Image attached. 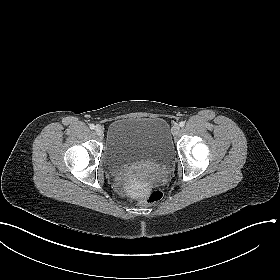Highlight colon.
<instances>
[{
    "instance_id": "colon-1",
    "label": "colon",
    "mask_w": 280,
    "mask_h": 280,
    "mask_svg": "<svg viewBox=\"0 0 280 280\" xmlns=\"http://www.w3.org/2000/svg\"><path fill=\"white\" fill-rule=\"evenodd\" d=\"M163 194L159 189H151L145 195L144 201L147 204H153L161 200Z\"/></svg>"
}]
</instances>
